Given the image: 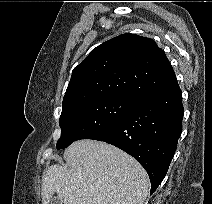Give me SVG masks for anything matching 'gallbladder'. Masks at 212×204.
Here are the masks:
<instances>
[{
    "instance_id": "obj_1",
    "label": "gallbladder",
    "mask_w": 212,
    "mask_h": 204,
    "mask_svg": "<svg viewBox=\"0 0 212 204\" xmlns=\"http://www.w3.org/2000/svg\"><path fill=\"white\" fill-rule=\"evenodd\" d=\"M50 204H62V202L59 200V198L55 197L52 199Z\"/></svg>"
}]
</instances>
